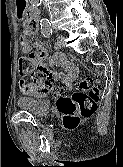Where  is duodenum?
Wrapping results in <instances>:
<instances>
[{
  "label": "duodenum",
  "instance_id": "410a0bca",
  "mask_svg": "<svg viewBox=\"0 0 123 167\" xmlns=\"http://www.w3.org/2000/svg\"><path fill=\"white\" fill-rule=\"evenodd\" d=\"M28 1V0H27ZM31 17H33L36 22H37V27H38V20H39V16L38 14L35 12V10H32L31 13H30Z\"/></svg>",
  "mask_w": 123,
  "mask_h": 167
}]
</instances>
